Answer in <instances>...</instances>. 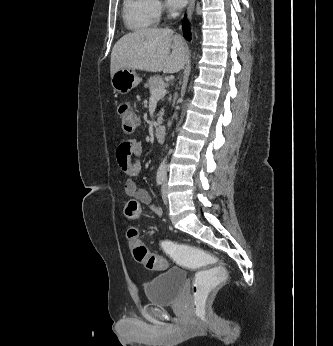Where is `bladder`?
<instances>
[{"instance_id":"1","label":"bladder","mask_w":333,"mask_h":346,"mask_svg":"<svg viewBox=\"0 0 333 346\" xmlns=\"http://www.w3.org/2000/svg\"><path fill=\"white\" fill-rule=\"evenodd\" d=\"M187 280L186 271L172 268L154 276L145 286L147 301L154 305H165L177 300Z\"/></svg>"}]
</instances>
